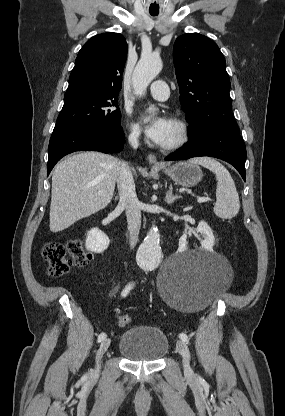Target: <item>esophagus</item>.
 I'll use <instances>...</instances> for the list:
<instances>
[{"label": "esophagus", "mask_w": 285, "mask_h": 416, "mask_svg": "<svg viewBox=\"0 0 285 416\" xmlns=\"http://www.w3.org/2000/svg\"><path fill=\"white\" fill-rule=\"evenodd\" d=\"M148 161H149V163L151 164V165H154V166H157V167H159V166H162L158 161H157V158H156V156L155 155H153L152 153H150L149 155H148Z\"/></svg>", "instance_id": "obj_1"}]
</instances>
